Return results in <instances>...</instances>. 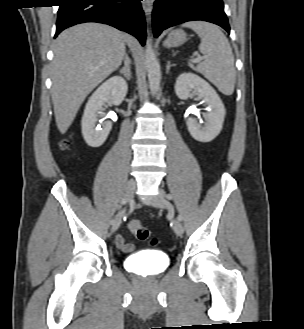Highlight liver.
<instances>
[{"label":"liver","instance_id":"6515ba94","mask_svg":"<svg viewBox=\"0 0 304 329\" xmlns=\"http://www.w3.org/2000/svg\"><path fill=\"white\" fill-rule=\"evenodd\" d=\"M134 39L108 25L83 23L55 40L52 102L55 121L64 134L87 95L122 63L125 42Z\"/></svg>","mask_w":304,"mask_h":329}]
</instances>
